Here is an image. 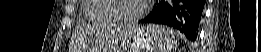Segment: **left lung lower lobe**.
Returning <instances> with one entry per match:
<instances>
[{
	"label": "left lung lower lobe",
	"mask_w": 261,
	"mask_h": 52,
	"mask_svg": "<svg viewBox=\"0 0 261 52\" xmlns=\"http://www.w3.org/2000/svg\"><path fill=\"white\" fill-rule=\"evenodd\" d=\"M205 0H160L140 23L164 24L195 41L202 20Z\"/></svg>",
	"instance_id": "1"
}]
</instances>
